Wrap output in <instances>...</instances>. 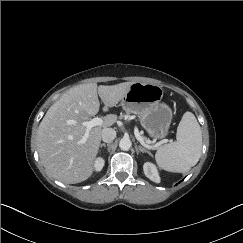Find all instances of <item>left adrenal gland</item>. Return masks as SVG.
I'll use <instances>...</instances> for the list:
<instances>
[{"label":"left adrenal gland","mask_w":243,"mask_h":243,"mask_svg":"<svg viewBox=\"0 0 243 243\" xmlns=\"http://www.w3.org/2000/svg\"><path fill=\"white\" fill-rule=\"evenodd\" d=\"M138 148H139V150L142 152V153H147V154H149V155H151V152L150 151H148L147 149H145V148H143L142 146H138Z\"/></svg>","instance_id":"obj_1"}]
</instances>
